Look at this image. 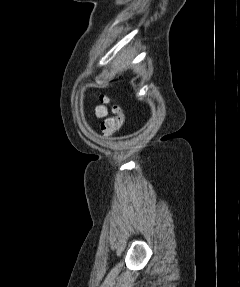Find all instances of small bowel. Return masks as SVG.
Masks as SVG:
<instances>
[{
    "label": "small bowel",
    "mask_w": 240,
    "mask_h": 287,
    "mask_svg": "<svg viewBox=\"0 0 240 287\" xmlns=\"http://www.w3.org/2000/svg\"><path fill=\"white\" fill-rule=\"evenodd\" d=\"M108 114L107 108L104 105H98L95 107V116L98 119H104Z\"/></svg>",
    "instance_id": "1"
}]
</instances>
